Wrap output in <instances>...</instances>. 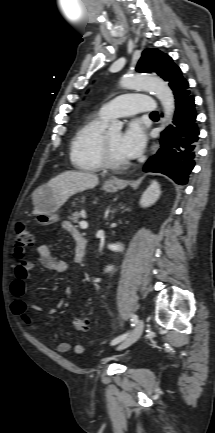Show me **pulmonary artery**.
I'll return each mask as SVG.
<instances>
[{
  "label": "pulmonary artery",
  "mask_w": 215,
  "mask_h": 433,
  "mask_svg": "<svg viewBox=\"0 0 215 433\" xmlns=\"http://www.w3.org/2000/svg\"><path fill=\"white\" fill-rule=\"evenodd\" d=\"M159 110L154 98L141 93L121 95L104 104L100 112L108 119L131 116L138 113H153Z\"/></svg>",
  "instance_id": "e3ab8cb5"
}]
</instances>
